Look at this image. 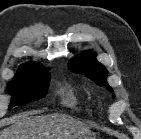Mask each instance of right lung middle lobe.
Here are the masks:
<instances>
[{"instance_id":"dd1d6c3e","label":"right lung middle lobe","mask_w":141,"mask_h":139,"mask_svg":"<svg viewBox=\"0 0 141 139\" xmlns=\"http://www.w3.org/2000/svg\"><path fill=\"white\" fill-rule=\"evenodd\" d=\"M50 73L46 68H28L18 70L9 84L12 101L9 108L34 102L45 96L49 86Z\"/></svg>"}]
</instances>
